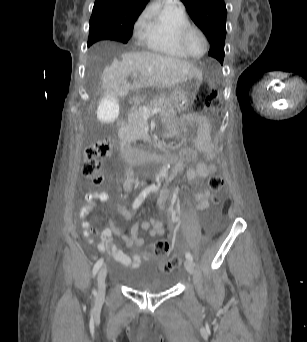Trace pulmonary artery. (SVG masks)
Wrapping results in <instances>:
<instances>
[{"instance_id": "obj_1", "label": "pulmonary artery", "mask_w": 307, "mask_h": 342, "mask_svg": "<svg viewBox=\"0 0 307 342\" xmlns=\"http://www.w3.org/2000/svg\"><path fill=\"white\" fill-rule=\"evenodd\" d=\"M165 4V9H173V8H182L184 7L183 1H163ZM164 10L160 8H155L153 10V15H155L158 19H160Z\"/></svg>"}]
</instances>
